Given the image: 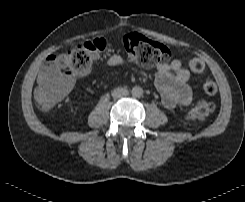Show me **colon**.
Returning a JSON list of instances; mask_svg holds the SVG:
<instances>
[{"instance_id":"5ec220e1","label":"colon","mask_w":245,"mask_h":202,"mask_svg":"<svg viewBox=\"0 0 245 202\" xmlns=\"http://www.w3.org/2000/svg\"><path fill=\"white\" fill-rule=\"evenodd\" d=\"M122 46L128 60L142 67L164 64L171 56L166 45L135 33L123 35ZM106 47L107 42L104 38H96L81 42L65 53L52 56L49 62L60 71V74L57 75L51 70L48 78L43 82L42 88L36 94L39 108L44 112L50 111L67 95L70 89L69 79L87 73ZM189 66L196 74L202 73L205 68L204 63L199 59H192ZM203 91L207 95H214L217 92L215 82L206 80L203 83ZM213 110V103L201 100L186 111L185 118L188 121L203 122Z\"/></svg>"}]
</instances>
